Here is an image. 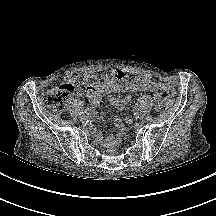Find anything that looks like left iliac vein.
I'll return each mask as SVG.
<instances>
[{
    "label": "left iliac vein",
    "instance_id": "obj_1",
    "mask_svg": "<svg viewBox=\"0 0 216 216\" xmlns=\"http://www.w3.org/2000/svg\"><path fill=\"white\" fill-rule=\"evenodd\" d=\"M144 117H145V115H144L142 112H140V113H138V115L136 116V119H137V120H142V119H144Z\"/></svg>",
    "mask_w": 216,
    "mask_h": 216
}]
</instances>
